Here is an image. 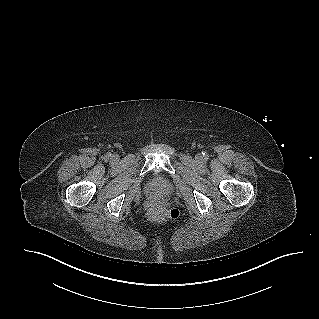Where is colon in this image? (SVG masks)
I'll use <instances>...</instances> for the list:
<instances>
[{
	"label": "colon",
	"mask_w": 319,
	"mask_h": 319,
	"mask_svg": "<svg viewBox=\"0 0 319 319\" xmlns=\"http://www.w3.org/2000/svg\"><path fill=\"white\" fill-rule=\"evenodd\" d=\"M149 214L152 217H160V216H165V215H168L171 217L177 216L175 211H169L168 209H166L163 206H155V207L151 208L149 210Z\"/></svg>",
	"instance_id": "5ec220e1"
}]
</instances>
